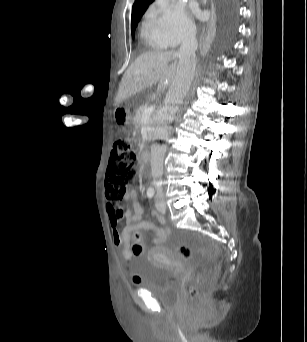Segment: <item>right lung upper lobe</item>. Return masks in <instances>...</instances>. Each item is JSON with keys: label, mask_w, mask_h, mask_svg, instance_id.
<instances>
[{"label": "right lung upper lobe", "mask_w": 307, "mask_h": 342, "mask_svg": "<svg viewBox=\"0 0 307 342\" xmlns=\"http://www.w3.org/2000/svg\"><path fill=\"white\" fill-rule=\"evenodd\" d=\"M154 0H135L132 7L131 28L135 30L138 21L146 11L148 5ZM232 10L231 0H215L212 5V12L208 22L210 36L219 34L225 27L229 14Z\"/></svg>", "instance_id": "right-lung-upper-lobe-1"}]
</instances>
